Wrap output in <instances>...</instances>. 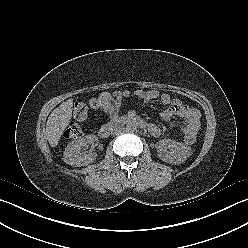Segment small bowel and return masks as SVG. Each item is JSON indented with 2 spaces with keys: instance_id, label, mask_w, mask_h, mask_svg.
<instances>
[{
  "instance_id": "1",
  "label": "small bowel",
  "mask_w": 248,
  "mask_h": 248,
  "mask_svg": "<svg viewBox=\"0 0 248 248\" xmlns=\"http://www.w3.org/2000/svg\"><path fill=\"white\" fill-rule=\"evenodd\" d=\"M101 96L105 98L101 106L102 111L110 116H116L122 100L129 98L131 93L128 90H122L114 91L112 94L103 93ZM134 96L144 103L160 99L162 105L166 107L161 113V118L165 122L170 121L173 117H181L184 120L181 126L184 137L198 134L201 126V114L196 108L183 104L179 99L172 98L169 94H161L155 89L136 90ZM148 130L155 137L162 134V128L156 124H149Z\"/></svg>"
}]
</instances>
